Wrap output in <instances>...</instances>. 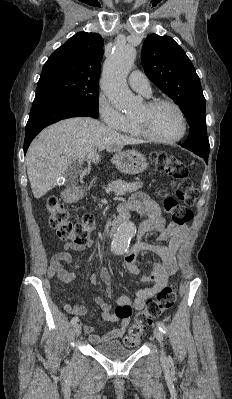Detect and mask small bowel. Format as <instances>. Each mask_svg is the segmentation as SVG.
<instances>
[{"label":"small bowel","instance_id":"obj_1","mask_svg":"<svg viewBox=\"0 0 232 399\" xmlns=\"http://www.w3.org/2000/svg\"><path fill=\"white\" fill-rule=\"evenodd\" d=\"M130 204L134 209L143 212L146 215L144 222L140 227V233L146 234L149 231H159V236L152 241H138L137 244L126 251L124 255L126 268L133 274H139L140 268L136 263L139 251L149 250L161 257V261L154 265L151 273L141 276L142 283H153L152 287L141 289L135 298L131 299L127 296H120L115 301V309L101 297L97 298L96 304L101 311V319L109 322L116 321L118 325L115 326L105 335L96 333L92 326L81 323L79 329L89 335L92 345L98 346L108 343L110 345L119 344V336L123 334L130 322L131 312L134 309H142L145 306L147 299L151 298L162 289L166 287L170 279L176 272L178 266V253L182 248L187 228L186 226H176L170 223L163 222L159 217L160 203L157 199L151 198L143 192L134 193L131 196ZM169 241L170 247L166 248L162 243ZM92 242H68L64 249L55 253L49 267L47 268V277H56L61 284H66L77 277L84 276V270L93 262L101 259L99 252L90 254L85 260L79 263L78 270L68 271L64 268V264L71 263L73 259L72 251H79L92 248ZM100 278L103 282L109 283L111 275L108 270L102 269L100 271ZM89 279L93 285H97L99 280L95 274L89 275ZM111 295L112 291L108 290ZM63 306L65 310L73 315H86L88 309L81 303H71L64 301Z\"/></svg>","mask_w":232,"mask_h":399}]
</instances>
